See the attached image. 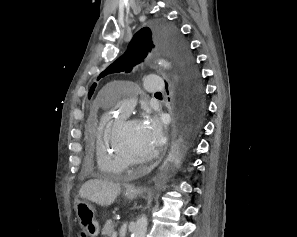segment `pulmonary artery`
<instances>
[{"mask_svg": "<svg viewBox=\"0 0 297 237\" xmlns=\"http://www.w3.org/2000/svg\"><path fill=\"white\" fill-rule=\"evenodd\" d=\"M144 89L148 93L162 91L164 85L159 76H149L144 79ZM137 92L131 87H123L118 94V97L113 100L116 106L120 109L123 115H126L136 102Z\"/></svg>", "mask_w": 297, "mask_h": 237, "instance_id": "pulmonary-artery-1", "label": "pulmonary artery"}]
</instances>
